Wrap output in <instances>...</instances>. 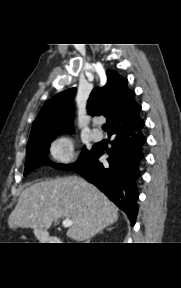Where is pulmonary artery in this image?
I'll return each instance as SVG.
<instances>
[{
    "instance_id": "obj_1",
    "label": "pulmonary artery",
    "mask_w": 181,
    "mask_h": 288,
    "mask_svg": "<svg viewBox=\"0 0 181 288\" xmlns=\"http://www.w3.org/2000/svg\"><path fill=\"white\" fill-rule=\"evenodd\" d=\"M91 137L95 141H100L103 138V133L99 129H93L91 131Z\"/></svg>"
}]
</instances>
